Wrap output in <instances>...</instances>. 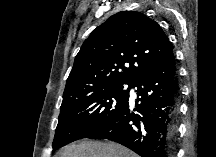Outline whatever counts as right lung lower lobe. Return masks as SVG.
Instances as JSON below:
<instances>
[{"mask_svg": "<svg viewBox=\"0 0 216 157\" xmlns=\"http://www.w3.org/2000/svg\"><path fill=\"white\" fill-rule=\"evenodd\" d=\"M130 87L139 97L135 106L128 99L110 122L87 138L115 141L141 157H174L180 87L173 52Z\"/></svg>", "mask_w": 216, "mask_h": 157, "instance_id": "obj_1", "label": "right lung lower lobe"}]
</instances>
